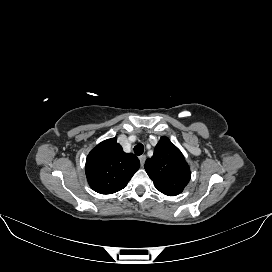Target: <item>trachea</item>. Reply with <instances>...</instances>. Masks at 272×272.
I'll list each match as a JSON object with an SVG mask.
<instances>
[{
	"mask_svg": "<svg viewBox=\"0 0 272 272\" xmlns=\"http://www.w3.org/2000/svg\"><path fill=\"white\" fill-rule=\"evenodd\" d=\"M144 152V146L142 144H137L134 147V153L138 156L142 155Z\"/></svg>",
	"mask_w": 272,
	"mask_h": 272,
	"instance_id": "1",
	"label": "trachea"
}]
</instances>
